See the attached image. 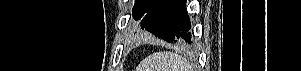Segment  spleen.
<instances>
[{"mask_svg": "<svg viewBox=\"0 0 301 71\" xmlns=\"http://www.w3.org/2000/svg\"><path fill=\"white\" fill-rule=\"evenodd\" d=\"M191 64L181 55L171 52H156L149 55L137 71H189Z\"/></svg>", "mask_w": 301, "mask_h": 71, "instance_id": "spleen-1", "label": "spleen"}]
</instances>
